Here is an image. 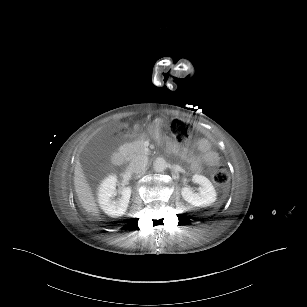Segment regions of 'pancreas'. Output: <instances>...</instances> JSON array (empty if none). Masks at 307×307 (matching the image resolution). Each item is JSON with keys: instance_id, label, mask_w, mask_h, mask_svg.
I'll use <instances>...</instances> for the list:
<instances>
[{"instance_id": "cf45deb5", "label": "pancreas", "mask_w": 307, "mask_h": 307, "mask_svg": "<svg viewBox=\"0 0 307 307\" xmlns=\"http://www.w3.org/2000/svg\"><path fill=\"white\" fill-rule=\"evenodd\" d=\"M144 137L140 136L134 140L133 145L135 147V153H144Z\"/></svg>"}]
</instances>
